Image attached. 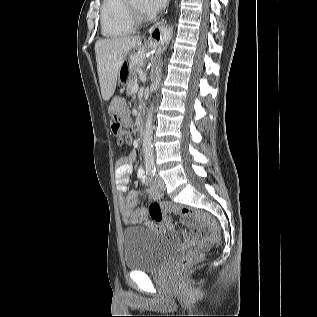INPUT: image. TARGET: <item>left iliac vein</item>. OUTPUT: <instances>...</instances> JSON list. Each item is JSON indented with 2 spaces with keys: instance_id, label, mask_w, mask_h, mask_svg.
<instances>
[{
  "instance_id": "1",
  "label": "left iliac vein",
  "mask_w": 317,
  "mask_h": 317,
  "mask_svg": "<svg viewBox=\"0 0 317 317\" xmlns=\"http://www.w3.org/2000/svg\"><path fill=\"white\" fill-rule=\"evenodd\" d=\"M155 181H156V185L159 189L161 190H165V184H164V181L163 179L157 175L156 178H155Z\"/></svg>"
}]
</instances>
